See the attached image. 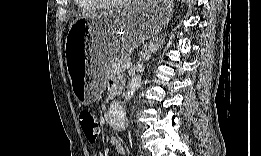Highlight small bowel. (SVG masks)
<instances>
[{
	"instance_id": "1",
	"label": "small bowel",
	"mask_w": 261,
	"mask_h": 156,
	"mask_svg": "<svg viewBox=\"0 0 261 156\" xmlns=\"http://www.w3.org/2000/svg\"><path fill=\"white\" fill-rule=\"evenodd\" d=\"M122 86H123V82L120 81V80H116V79H112L110 80L109 82V86H108V90L110 93H118L121 89H122ZM111 144L114 145L115 149H116V153L117 155L119 156H124L126 155V149L124 147V145L118 141L117 139L113 138L111 139ZM95 156H99L100 153L97 151L95 152L94 154Z\"/></svg>"
}]
</instances>
